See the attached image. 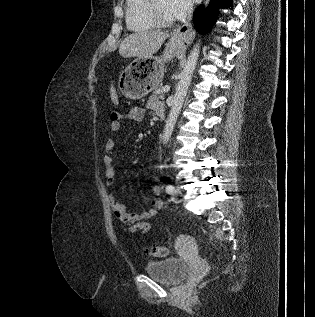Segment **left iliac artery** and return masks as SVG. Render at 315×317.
I'll use <instances>...</instances> for the list:
<instances>
[{"label":"left iliac artery","instance_id":"left-iliac-artery-1","mask_svg":"<svg viewBox=\"0 0 315 317\" xmlns=\"http://www.w3.org/2000/svg\"><path fill=\"white\" fill-rule=\"evenodd\" d=\"M166 192L168 194H172L174 192V187L172 185H167L166 186Z\"/></svg>","mask_w":315,"mask_h":317}]
</instances>
